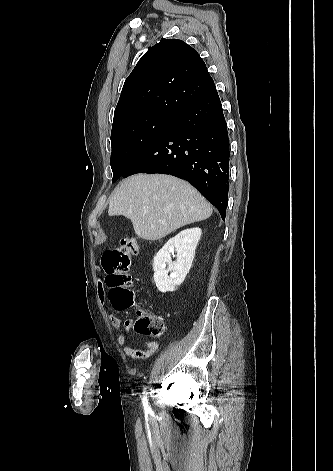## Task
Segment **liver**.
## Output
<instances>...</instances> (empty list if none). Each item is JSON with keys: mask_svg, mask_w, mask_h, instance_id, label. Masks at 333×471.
Here are the masks:
<instances>
[{"mask_svg": "<svg viewBox=\"0 0 333 471\" xmlns=\"http://www.w3.org/2000/svg\"><path fill=\"white\" fill-rule=\"evenodd\" d=\"M108 214L130 219L135 234L155 241L212 215V207L188 182L171 175L137 174L109 198Z\"/></svg>", "mask_w": 333, "mask_h": 471, "instance_id": "6515ba94", "label": "liver"}]
</instances>
